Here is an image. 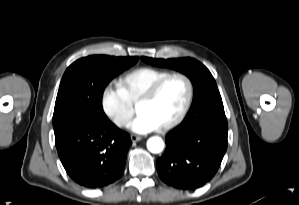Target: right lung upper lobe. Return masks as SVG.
<instances>
[{
	"label": "right lung upper lobe",
	"mask_w": 299,
	"mask_h": 205,
	"mask_svg": "<svg viewBox=\"0 0 299 205\" xmlns=\"http://www.w3.org/2000/svg\"><path fill=\"white\" fill-rule=\"evenodd\" d=\"M128 58H130V59H132V60H138V57H128Z\"/></svg>",
	"instance_id": "obj_1"
}]
</instances>
